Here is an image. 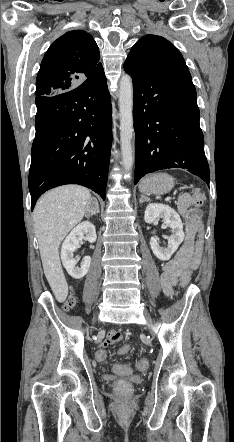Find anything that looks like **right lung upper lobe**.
Segmentation results:
<instances>
[{"label": "right lung upper lobe", "instance_id": "right-lung-upper-lobe-1", "mask_svg": "<svg viewBox=\"0 0 234 442\" xmlns=\"http://www.w3.org/2000/svg\"><path fill=\"white\" fill-rule=\"evenodd\" d=\"M93 37L83 30L59 37L47 50L36 79V96H49L77 87L80 79L103 72Z\"/></svg>", "mask_w": 234, "mask_h": 442}]
</instances>
